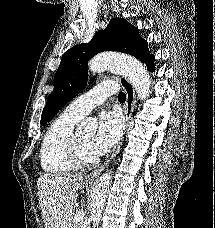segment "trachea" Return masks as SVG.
<instances>
[{
	"label": "trachea",
	"instance_id": "1",
	"mask_svg": "<svg viewBox=\"0 0 215 228\" xmlns=\"http://www.w3.org/2000/svg\"><path fill=\"white\" fill-rule=\"evenodd\" d=\"M118 99H119L120 102L126 101V95H125V93L120 92V93L118 94Z\"/></svg>",
	"mask_w": 215,
	"mask_h": 228
}]
</instances>
